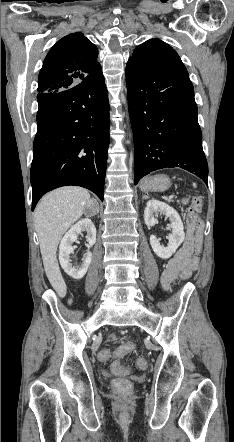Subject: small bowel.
Listing matches in <instances>:
<instances>
[{
	"instance_id": "small-bowel-1",
	"label": "small bowel",
	"mask_w": 234,
	"mask_h": 442,
	"mask_svg": "<svg viewBox=\"0 0 234 442\" xmlns=\"http://www.w3.org/2000/svg\"><path fill=\"white\" fill-rule=\"evenodd\" d=\"M183 203L185 204L186 200ZM191 222L192 217L189 216V237L192 230ZM189 261H191L190 238L165 266L164 272L162 274V285L165 289H168L172 282L176 279L177 275L185 270V268L188 266Z\"/></svg>"
}]
</instances>
